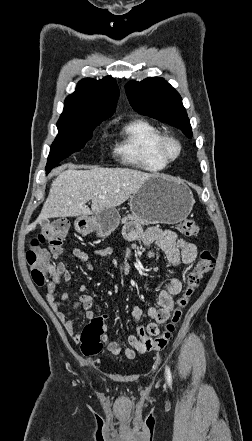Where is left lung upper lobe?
I'll use <instances>...</instances> for the list:
<instances>
[{
	"label": "left lung upper lobe",
	"mask_w": 252,
	"mask_h": 441,
	"mask_svg": "<svg viewBox=\"0 0 252 441\" xmlns=\"http://www.w3.org/2000/svg\"><path fill=\"white\" fill-rule=\"evenodd\" d=\"M125 90L133 109L143 115L179 127L187 137L192 136L182 98L164 79L151 77L141 82L130 81L126 84Z\"/></svg>",
	"instance_id": "left-lung-upper-lobe-1"
}]
</instances>
